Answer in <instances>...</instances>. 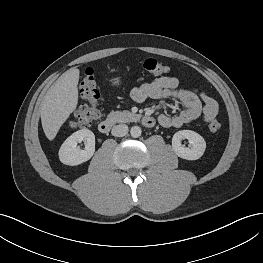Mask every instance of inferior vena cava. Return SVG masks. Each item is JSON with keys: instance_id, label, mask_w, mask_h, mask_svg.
I'll use <instances>...</instances> for the list:
<instances>
[{"instance_id": "602c4592", "label": "inferior vena cava", "mask_w": 263, "mask_h": 263, "mask_svg": "<svg viewBox=\"0 0 263 263\" xmlns=\"http://www.w3.org/2000/svg\"><path fill=\"white\" fill-rule=\"evenodd\" d=\"M128 133V126L119 124L112 128L111 134L116 137H123Z\"/></svg>"}]
</instances>
